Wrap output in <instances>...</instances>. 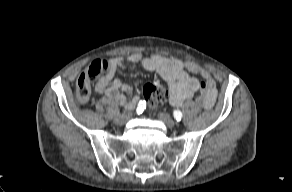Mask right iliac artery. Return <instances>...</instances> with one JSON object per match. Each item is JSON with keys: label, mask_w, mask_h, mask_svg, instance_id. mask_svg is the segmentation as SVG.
Instances as JSON below:
<instances>
[{"label": "right iliac artery", "mask_w": 292, "mask_h": 192, "mask_svg": "<svg viewBox=\"0 0 292 192\" xmlns=\"http://www.w3.org/2000/svg\"><path fill=\"white\" fill-rule=\"evenodd\" d=\"M145 108H146V102L145 101H140L138 103L137 112H142Z\"/></svg>", "instance_id": "1"}]
</instances>
